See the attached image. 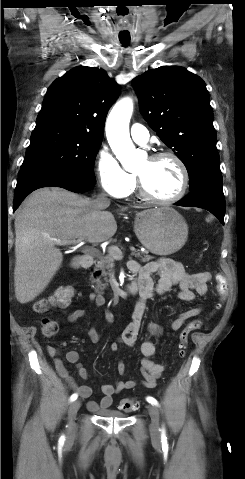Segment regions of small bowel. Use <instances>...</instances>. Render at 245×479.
Listing matches in <instances>:
<instances>
[{
    "label": "small bowel",
    "mask_w": 245,
    "mask_h": 479,
    "mask_svg": "<svg viewBox=\"0 0 245 479\" xmlns=\"http://www.w3.org/2000/svg\"><path fill=\"white\" fill-rule=\"evenodd\" d=\"M129 269L138 275L139 284V298L136 302L131 320L124 328L118 339L111 343L110 349L117 351L120 345L133 347L137 344L138 334L143 325L147 301L164 295L173 287H178L177 299L185 302L195 301L197 296H205L209 292V281L211 275L209 272H187L180 262L172 259L161 258L150 261L144 265H140L137 261L129 262ZM91 302L96 306L101 307L106 303L105 297L100 293H91L89 296ZM202 311L201 307L191 308L179 314L172 322L171 328L174 331L182 328L185 323L199 315ZM85 315L84 309H75L68 317L69 322L74 323ZM108 321H112L110 313H107ZM148 331L150 335L157 336L161 333V328L156 324H149ZM89 336L93 342L100 340V335L92 328L89 331ZM139 351L142 354L141 359V385L146 388H154L157 380L164 373L166 366L158 363L153 359L156 353L155 344L151 340H145L139 344ZM48 355L53 358L55 369L58 375L65 380V382L75 390L80 397H90L92 391L87 385H77L68 369L58 357L59 350L55 346L47 347ZM66 360L69 363L76 364L78 374L81 378H88V371L79 363V353L75 350H70L66 353ZM117 371L120 375H125L126 366L123 361H118ZM138 382L135 380L117 381L115 384L102 385L103 397L100 401H89L87 407L93 412H100L112 405L115 394L124 390L135 388Z\"/></svg>",
    "instance_id": "small-bowel-1"
}]
</instances>
